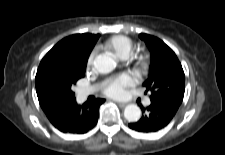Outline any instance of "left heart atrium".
<instances>
[{
  "instance_id": "39dd6f15",
  "label": "left heart atrium",
  "mask_w": 225,
  "mask_h": 155,
  "mask_svg": "<svg viewBox=\"0 0 225 155\" xmlns=\"http://www.w3.org/2000/svg\"><path fill=\"white\" fill-rule=\"evenodd\" d=\"M137 79L130 73H123L117 77L109 79L104 86V93L112 97H121L127 88L136 84Z\"/></svg>"
}]
</instances>
